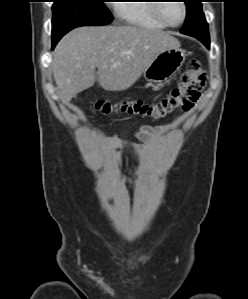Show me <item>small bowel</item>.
<instances>
[{"label":"small bowel","instance_id":"1","mask_svg":"<svg viewBox=\"0 0 248 299\" xmlns=\"http://www.w3.org/2000/svg\"><path fill=\"white\" fill-rule=\"evenodd\" d=\"M171 128L170 125L162 126H150L142 125L136 131L135 135L140 139L144 145L141 147L134 146V148L139 152H147L151 148L158 147L162 140L165 138L167 132ZM109 143L118 148H124L126 144L117 137H112Z\"/></svg>","mask_w":248,"mask_h":299}]
</instances>
